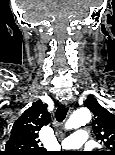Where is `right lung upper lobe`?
Returning <instances> with one entry per match:
<instances>
[{"mask_svg":"<svg viewBox=\"0 0 115 155\" xmlns=\"http://www.w3.org/2000/svg\"><path fill=\"white\" fill-rule=\"evenodd\" d=\"M51 120L46 106L36 101L14 123L2 155H46L40 147L38 132Z\"/></svg>","mask_w":115,"mask_h":155,"instance_id":"1","label":"right lung upper lobe"}]
</instances>
